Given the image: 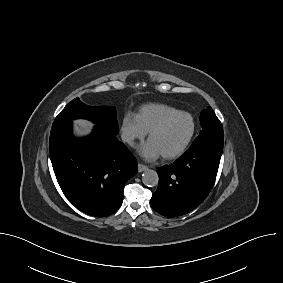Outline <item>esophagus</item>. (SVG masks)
I'll return each instance as SVG.
<instances>
[{"label": "esophagus", "instance_id": "34e87169", "mask_svg": "<svg viewBox=\"0 0 283 283\" xmlns=\"http://www.w3.org/2000/svg\"><path fill=\"white\" fill-rule=\"evenodd\" d=\"M147 169H148V167L146 165H143L141 163L138 164V171L139 172H143V171H145Z\"/></svg>", "mask_w": 283, "mask_h": 283}]
</instances>
